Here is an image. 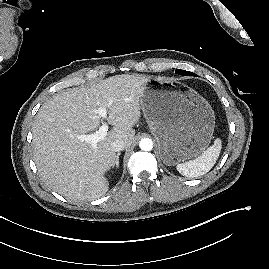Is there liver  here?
Wrapping results in <instances>:
<instances>
[{
    "label": "liver",
    "instance_id": "1",
    "mask_svg": "<svg viewBox=\"0 0 269 269\" xmlns=\"http://www.w3.org/2000/svg\"><path fill=\"white\" fill-rule=\"evenodd\" d=\"M148 79L140 74L115 75L57 93L43 104L32 126V144L35 164L49 188L71 201H91L106 194L105 174L116 161L111 145L115 140L127 147L132 144ZM100 107L106 108L113 128L93 149L77 136L97 130L102 122Z\"/></svg>",
    "mask_w": 269,
    "mask_h": 269
}]
</instances>
